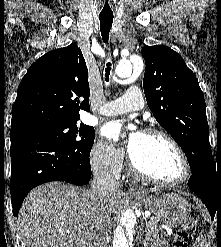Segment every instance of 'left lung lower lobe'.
<instances>
[{
  "mask_svg": "<svg viewBox=\"0 0 221 247\" xmlns=\"http://www.w3.org/2000/svg\"><path fill=\"white\" fill-rule=\"evenodd\" d=\"M189 188L208 208L211 219L221 210V164L213 157L206 159L198 168L191 170Z\"/></svg>",
  "mask_w": 221,
  "mask_h": 247,
  "instance_id": "left-lung-lower-lobe-1",
  "label": "left lung lower lobe"
}]
</instances>
